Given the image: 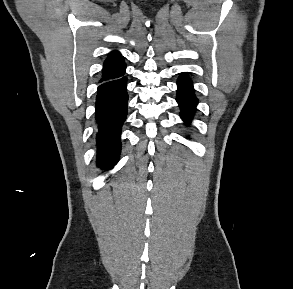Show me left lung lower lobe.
Wrapping results in <instances>:
<instances>
[{
	"mask_svg": "<svg viewBox=\"0 0 293 289\" xmlns=\"http://www.w3.org/2000/svg\"><path fill=\"white\" fill-rule=\"evenodd\" d=\"M177 102L182 110L181 117L188 125L191 122L192 116L195 113L197 98L194 95L192 82L187 74L183 73L178 79Z\"/></svg>",
	"mask_w": 293,
	"mask_h": 289,
	"instance_id": "obj_1",
	"label": "left lung lower lobe"
}]
</instances>
